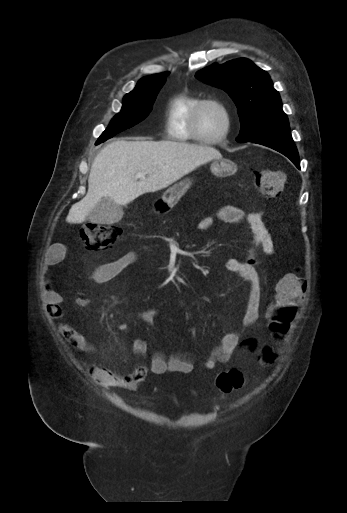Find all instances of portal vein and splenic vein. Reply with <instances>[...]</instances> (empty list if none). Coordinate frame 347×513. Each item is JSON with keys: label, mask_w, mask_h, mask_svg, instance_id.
<instances>
[{"label": "portal vein and splenic vein", "mask_w": 347, "mask_h": 513, "mask_svg": "<svg viewBox=\"0 0 347 513\" xmlns=\"http://www.w3.org/2000/svg\"><path fill=\"white\" fill-rule=\"evenodd\" d=\"M136 178H141V179H145L146 177V174L145 173H142V172H139L135 175Z\"/></svg>", "instance_id": "portal-vein-and-splenic-vein-1"}]
</instances>
